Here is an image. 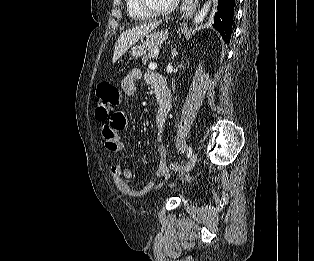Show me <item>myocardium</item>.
<instances>
[{"label": "myocardium", "mask_w": 314, "mask_h": 261, "mask_svg": "<svg viewBox=\"0 0 314 261\" xmlns=\"http://www.w3.org/2000/svg\"><path fill=\"white\" fill-rule=\"evenodd\" d=\"M137 2L140 9L150 16H167L176 9L179 0H174L167 8L164 9L154 8L148 0H137Z\"/></svg>", "instance_id": "f54148a6"}]
</instances>
